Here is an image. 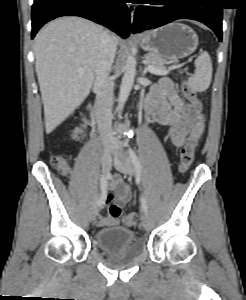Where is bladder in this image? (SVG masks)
<instances>
[{
	"label": "bladder",
	"instance_id": "1",
	"mask_svg": "<svg viewBox=\"0 0 246 300\" xmlns=\"http://www.w3.org/2000/svg\"><path fill=\"white\" fill-rule=\"evenodd\" d=\"M95 243L98 249L115 261H128L140 252L141 243L135 233L126 227L114 226L96 232Z\"/></svg>",
	"mask_w": 246,
	"mask_h": 300
}]
</instances>
